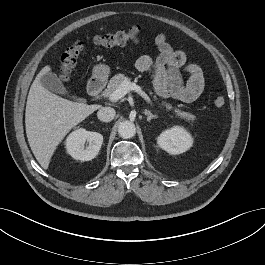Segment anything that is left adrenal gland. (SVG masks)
<instances>
[{"mask_svg": "<svg viewBox=\"0 0 265 265\" xmlns=\"http://www.w3.org/2000/svg\"><path fill=\"white\" fill-rule=\"evenodd\" d=\"M144 114L147 115V121L150 122L152 119H156L157 116L152 114L149 110H145Z\"/></svg>", "mask_w": 265, "mask_h": 265, "instance_id": "a2214340", "label": "left adrenal gland"}]
</instances>
